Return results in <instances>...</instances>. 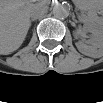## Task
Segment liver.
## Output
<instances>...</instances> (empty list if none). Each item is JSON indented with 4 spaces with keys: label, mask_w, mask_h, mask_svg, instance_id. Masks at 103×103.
I'll list each match as a JSON object with an SVG mask.
<instances>
[{
    "label": "liver",
    "mask_w": 103,
    "mask_h": 103,
    "mask_svg": "<svg viewBox=\"0 0 103 103\" xmlns=\"http://www.w3.org/2000/svg\"><path fill=\"white\" fill-rule=\"evenodd\" d=\"M33 6L21 0L1 2V54H11L21 46L30 27Z\"/></svg>",
    "instance_id": "obj_1"
}]
</instances>
